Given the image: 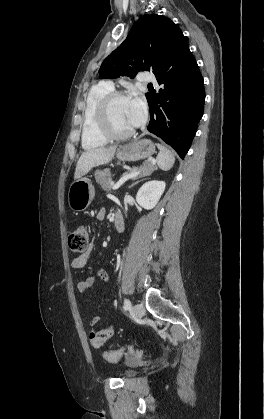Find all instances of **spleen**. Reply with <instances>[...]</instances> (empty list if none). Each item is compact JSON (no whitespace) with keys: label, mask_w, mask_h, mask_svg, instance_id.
Listing matches in <instances>:
<instances>
[{"label":"spleen","mask_w":264,"mask_h":419,"mask_svg":"<svg viewBox=\"0 0 264 419\" xmlns=\"http://www.w3.org/2000/svg\"><path fill=\"white\" fill-rule=\"evenodd\" d=\"M157 147L159 149V153L156 158L158 166L162 170H170L175 162L173 152L161 144H157Z\"/></svg>","instance_id":"spleen-1"}]
</instances>
